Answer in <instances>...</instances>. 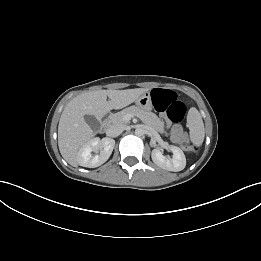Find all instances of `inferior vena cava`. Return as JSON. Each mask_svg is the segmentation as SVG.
I'll return each instance as SVG.
<instances>
[{"label": "inferior vena cava", "mask_w": 261, "mask_h": 261, "mask_svg": "<svg viewBox=\"0 0 261 261\" xmlns=\"http://www.w3.org/2000/svg\"><path fill=\"white\" fill-rule=\"evenodd\" d=\"M125 128L126 127L123 124H112L107 128L106 135L109 137H117L125 130Z\"/></svg>", "instance_id": "1"}]
</instances>
